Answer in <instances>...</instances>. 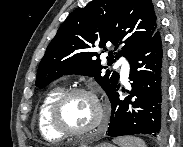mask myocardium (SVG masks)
I'll use <instances>...</instances> for the list:
<instances>
[{"label": "myocardium", "instance_id": "myocardium-1", "mask_svg": "<svg viewBox=\"0 0 183 147\" xmlns=\"http://www.w3.org/2000/svg\"><path fill=\"white\" fill-rule=\"evenodd\" d=\"M76 95L88 96L94 103L96 109V118L94 122L87 128L75 130L69 128L62 117L63 108L66 102ZM106 112L102 101L98 95L91 89L87 88H72L63 92L52 106L50 121L54 129L67 136H83L93 132L105 119Z\"/></svg>", "mask_w": 183, "mask_h": 147}]
</instances>
